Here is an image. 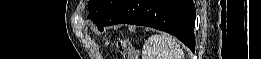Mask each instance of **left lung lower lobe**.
Wrapping results in <instances>:
<instances>
[{"label": "left lung lower lobe", "instance_id": "obj_1", "mask_svg": "<svg viewBox=\"0 0 261 59\" xmlns=\"http://www.w3.org/2000/svg\"><path fill=\"white\" fill-rule=\"evenodd\" d=\"M196 10L192 0H119L96 25L127 23L148 26L176 36L195 50Z\"/></svg>", "mask_w": 261, "mask_h": 59}]
</instances>
